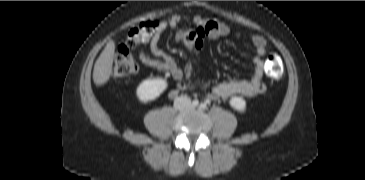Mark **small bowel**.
<instances>
[{
  "label": "small bowel",
  "mask_w": 365,
  "mask_h": 180,
  "mask_svg": "<svg viewBox=\"0 0 365 180\" xmlns=\"http://www.w3.org/2000/svg\"><path fill=\"white\" fill-rule=\"evenodd\" d=\"M183 21L191 22L195 27L193 29H180L175 33V41L181 43L189 52H198L201 50L206 39H217L220 37H237L239 31L233 30L223 22L201 17H186L181 14H174L166 20L158 22L156 34L149 40V49L151 56L144 51L140 52V60L146 66L152 67L162 72L169 73L175 80L182 81L185 77H191L193 67L190 63L181 69L176 59L166 54L159 46L161 34L168 28L175 29ZM252 45L255 50V56L252 59L254 66L253 76L248 80L224 81L215 84L209 93L211 99L229 100L235 96L253 98L263 94L266 91V85L263 81L265 72V63L263 56L266 53V39L258 34L251 37ZM189 84L181 82L179 88L186 90Z\"/></svg>",
  "instance_id": "small-bowel-1"
}]
</instances>
